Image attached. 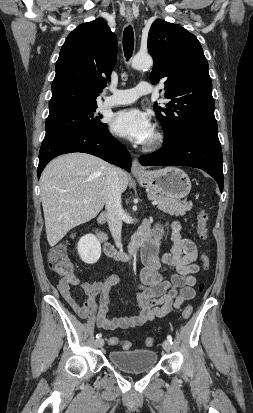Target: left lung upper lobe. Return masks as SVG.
<instances>
[{
	"label": "left lung upper lobe",
	"mask_w": 253,
	"mask_h": 413,
	"mask_svg": "<svg viewBox=\"0 0 253 413\" xmlns=\"http://www.w3.org/2000/svg\"><path fill=\"white\" fill-rule=\"evenodd\" d=\"M148 50L154 59L153 84L165 80L166 108L154 105L165 138L172 145L191 134L218 136L208 62L198 39L177 24L155 20Z\"/></svg>",
	"instance_id": "1"
}]
</instances>
